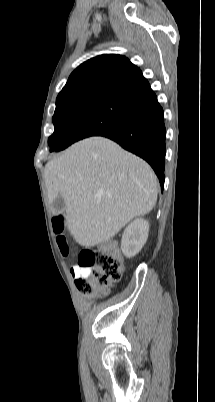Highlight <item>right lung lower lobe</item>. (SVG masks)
<instances>
[{"label": "right lung lower lobe", "mask_w": 215, "mask_h": 402, "mask_svg": "<svg viewBox=\"0 0 215 402\" xmlns=\"http://www.w3.org/2000/svg\"><path fill=\"white\" fill-rule=\"evenodd\" d=\"M117 142L124 149L147 161L164 187L166 154V129L163 109L154 97L140 108L120 127L101 135Z\"/></svg>", "instance_id": "right-lung-lower-lobe-1"}]
</instances>
